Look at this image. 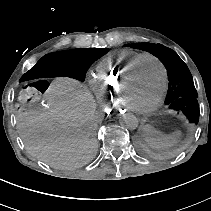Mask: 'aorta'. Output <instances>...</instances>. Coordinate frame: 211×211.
<instances>
[{
  "label": "aorta",
  "mask_w": 211,
  "mask_h": 211,
  "mask_svg": "<svg viewBox=\"0 0 211 211\" xmlns=\"http://www.w3.org/2000/svg\"><path fill=\"white\" fill-rule=\"evenodd\" d=\"M119 123L121 126L131 130L136 129L139 124L137 117L132 113L123 114L119 119Z\"/></svg>",
  "instance_id": "aorta-1"
}]
</instances>
